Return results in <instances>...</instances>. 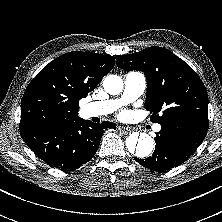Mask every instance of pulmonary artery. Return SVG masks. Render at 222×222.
Masks as SVG:
<instances>
[{
  "mask_svg": "<svg viewBox=\"0 0 222 222\" xmlns=\"http://www.w3.org/2000/svg\"><path fill=\"white\" fill-rule=\"evenodd\" d=\"M146 87L145 76L141 72H128L124 77V91L119 99L92 102L83 107L86 117L104 116L112 113L123 104L129 103L142 95ZM155 131H160L159 124L154 126Z\"/></svg>",
  "mask_w": 222,
  "mask_h": 222,
  "instance_id": "e3ab8cb5",
  "label": "pulmonary artery"
}]
</instances>
